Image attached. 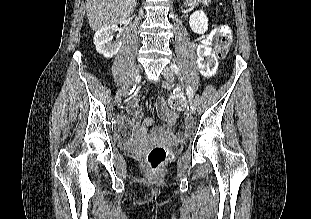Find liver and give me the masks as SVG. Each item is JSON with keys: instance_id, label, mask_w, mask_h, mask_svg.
<instances>
[{"instance_id": "1", "label": "liver", "mask_w": 311, "mask_h": 219, "mask_svg": "<svg viewBox=\"0 0 311 219\" xmlns=\"http://www.w3.org/2000/svg\"><path fill=\"white\" fill-rule=\"evenodd\" d=\"M137 0H86V11L92 30L116 25L134 11Z\"/></svg>"}]
</instances>
